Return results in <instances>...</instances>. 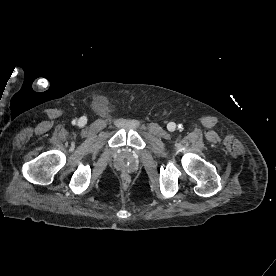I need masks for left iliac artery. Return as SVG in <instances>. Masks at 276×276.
Here are the masks:
<instances>
[{"mask_svg":"<svg viewBox=\"0 0 276 276\" xmlns=\"http://www.w3.org/2000/svg\"><path fill=\"white\" fill-rule=\"evenodd\" d=\"M178 128H179L180 130H182V129H183V127H182L181 125H179V126H178Z\"/></svg>","mask_w":276,"mask_h":276,"instance_id":"obj_1","label":"left iliac artery"}]
</instances>
